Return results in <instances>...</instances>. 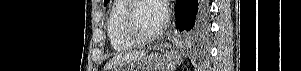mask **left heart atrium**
Instances as JSON below:
<instances>
[{"label":"left heart atrium","mask_w":301,"mask_h":71,"mask_svg":"<svg viewBox=\"0 0 301 71\" xmlns=\"http://www.w3.org/2000/svg\"><path fill=\"white\" fill-rule=\"evenodd\" d=\"M153 2L155 3V9L160 27L163 28L166 25L169 17L168 4L164 0H154Z\"/></svg>","instance_id":"left-heart-atrium-1"}]
</instances>
